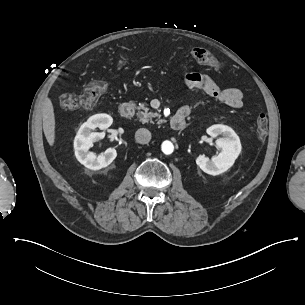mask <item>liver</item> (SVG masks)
<instances>
[{
	"label": "liver",
	"instance_id": "1",
	"mask_svg": "<svg viewBox=\"0 0 305 305\" xmlns=\"http://www.w3.org/2000/svg\"><path fill=\"white\" fill-rule=\"evenodd\" d=\"M43 131L49 145L54 144L55 140V117L52 102L49 98H45L43 107Z\"/></svg>",
	"mask_w": 305,
	"mask_h": 305
}]
</instances>
